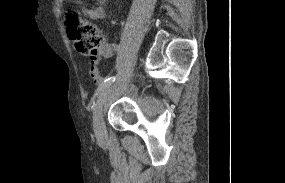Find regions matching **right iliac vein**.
Masks as SVG:
<instances>
[{
  "label": "right iliac vein",
  "mask_w": 285,
  "mask_h": 183,
  "mask_svg": "<svg viewBox=\"0 0 285 183\" xmlns=\"http://www.w3.org/2000/svg\"><path fill=\"white\" fill-rule=\"evenodd\" d=\"M117 83L110 84L106 86L100 93L95 109H94V128L96 136L100 139H103L105 136V128L103 122V106L107 100L108 95L110 94L111 90L116 87Z\"/></svg>",
  "instance_id": "right-iliac-vein-1"
}]
</instances>
